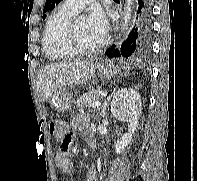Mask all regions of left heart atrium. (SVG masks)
Instances as JSON below:
<instances>
[{"label": "left heart atrium", "instance_id": "obj_1", "mask_svg": "<svg viewBox=\"0 0 197 181\" xmlns=\"http://www.w3.org/2000/svg\"><path fill=\"white\" fill-rule=\"evenodd\" d=\"M87 26L101 41L105 38L108 31V21L101 8L93 7L90 10Z\"/></svg>", "mask_w": 197, "mask_h": 181}]
</instances>
